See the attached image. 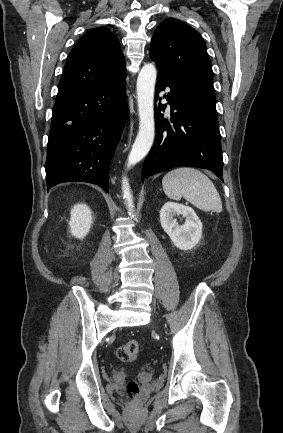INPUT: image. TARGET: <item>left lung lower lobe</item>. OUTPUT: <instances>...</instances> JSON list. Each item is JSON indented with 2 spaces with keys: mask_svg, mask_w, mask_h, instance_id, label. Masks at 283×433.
Segmentation results:
<instances>
[{
  "mask_svg": "<svg viewBox=\"0 0 283 433\" xmlns=\"http://www.w3.org/2000/svg\"><path fill=\"white\" fill-rule=\"evenodd\" d=\"M155 101L165 88L170 100V117L161 113L166 104L155 107L156 137L143 163L141 179L173 167H200L213 171L223 181V159L218 117L201 114L190 105L191 88L186 80L158 66Z\"/></svg>",
  "mask_w": 283,
  "mask_h": 433,
  "instance_id": "1",
  "label": "left lung lower lobe"
}]
</instances>
